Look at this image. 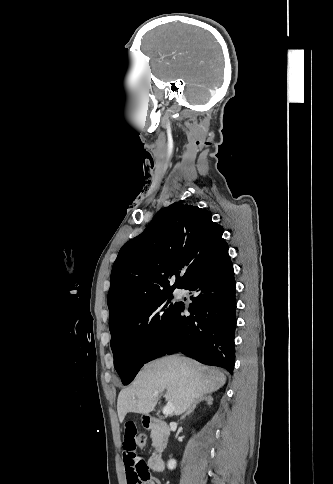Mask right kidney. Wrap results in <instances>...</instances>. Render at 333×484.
<instances>
[{
    "label": "right kidney",
    "mask_w": 333,
    "mask_h": 484,
    "mask_svg": "<svg viewBox=\"0 0 333 484\" xmlns=\"http://www.w3.org/2000/svg\"><path fill=\"white\" fill-rule=\"evenodd\" d=\"M167 467L170 469V470H173L176 468V461L174 459H170L167 463Z\"/></svg>",
    "instance_id": "right-kidney-1"
}]
</instances>
